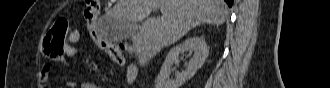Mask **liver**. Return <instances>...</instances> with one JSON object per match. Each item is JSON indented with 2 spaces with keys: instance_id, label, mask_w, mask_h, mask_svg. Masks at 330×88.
<instances>
[{
  "instance_id": "liver-1",
  "label": "liver",
  "mask_w": 330,
  "mask_h": 88,
  "mask_svg": "<svg viewBox=\"0 0 330 88\" xmlns=\"http://www.w3.org/2000/svg\"><path fill=\"white\" fill-rule=\"evenodd\" d=\"M161 7L160 18L149 17ZM228 14L223 0H118L106 21H143L131 36L140 66L164 47L174 44L190 29L204 24L221 25Z\"/></svg>"
}]
</instances>
